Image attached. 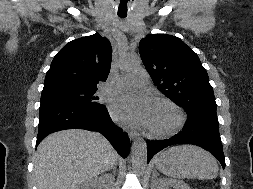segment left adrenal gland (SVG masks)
<instances>
[{
    "instance_id": "1",
    "label": "left adrenal gland",
    "mask_w": 253,
    "mask_h": 189,
    "mask_svg": "<svg viewBox=\"0 0 253 189\" xmlns=\"http://www.w3.org/2000/svg\"><path fill=\"white\" fill-rule=\"evenodd\" d=\"M157 175H158L157 171L154 170V171H153V176H152V178L156 177Z\"/></svg>"
}]
</instances>
